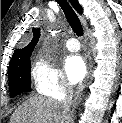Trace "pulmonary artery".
Masks as SVG:
<instances>
[{
  "instance_id": "1",
  "label": "pulmonary artery",
  "mask_w": 122,
  "mask_h": 123,
  "mask_svg": "<svg viewBox=\"0 0 122 123\" xmlns=\"http://www.w3.org/2000/svg\"><path fill=\"white\" fill-rule=\"evenodd\" d=\"M66 48L71 52H77L80 49V43L76 38H70L66 42Z\"/></svg>"
}]
</instances>
